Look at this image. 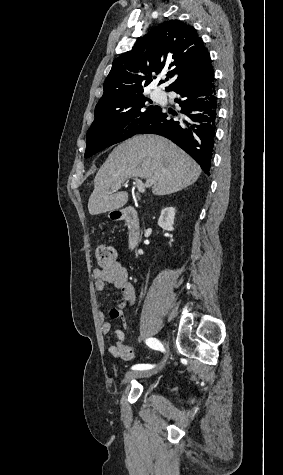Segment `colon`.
<instances>
[{
	"instance_id": "obj_1",
	"label": "colon",
	"mask_w": 283,
	"mask_h": 475,
	"mask_svg": "<svg viewBox=\"0 0 283 475\" xmlns=\"http://www.w3.org/2000/svg\"><path fill=\"white\" fill-rule=\"evenodd\" d=\"M95 257L100 267L115 266L117 263V253L115 249L107 244H100L95 248Z\"/></svg>"
}]
</instances>
